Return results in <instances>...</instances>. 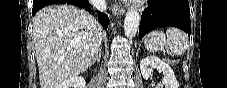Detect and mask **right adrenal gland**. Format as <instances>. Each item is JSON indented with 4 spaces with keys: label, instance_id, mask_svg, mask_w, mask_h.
<instances>
[{
    "label": "right adrenal gland",
    "instance_id": "2a0ac1e0",
    "mask_svg": "<svg viewBox=\"0 0 227 88\" xmlns=\"http://www.w3.org/2000/svg\"><path fill=\"white\" fill-rule=\"evenodd\" d=\"M100 59H101V49H99L96 53V55L94 56L92 62L90 65L94 64L96 61L97 62H100Z\"/></svg>",
    "mask_w": 227,
    "mask_h": 88
}]
</instances>
